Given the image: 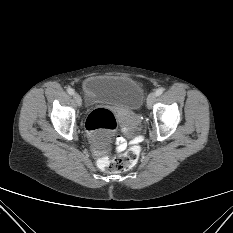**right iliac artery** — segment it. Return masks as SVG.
<instances>
[{"instance_id": "1", "label": "right iliac artery", "mask_w": 233, "mask_h": 233, "mask_svg": "<svg viewBox=\"0 0 233 233\" xmlns=\"http://www.w3.org/2000/svg\"><path fill=\"white\" fill-rule=\"evenodd\" d=\"M67 92L70 94V95H74V90L72 88H68L67 89Z\"/></svg>"}]
</instances>
